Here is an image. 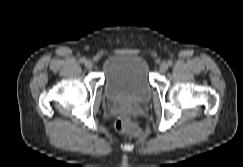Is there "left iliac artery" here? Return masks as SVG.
I'll list each match as a JSON object with an SVG mask.
<instances>
[{
    "mask_svg": "<svg viewBox=\"0 0 243 167\" xmlns=\"http://www.w3.org/2000/svg\"><path fill=\"white\" fill-rule=\"evenodd\" d=\"M168 65L169 66H172V61H168Z\"/></svg>",
    "mask_w": 243,
    "mask_h": 167,
    "instance_id": "1",
    "label": "left iliac artery"
}]
</instances>
